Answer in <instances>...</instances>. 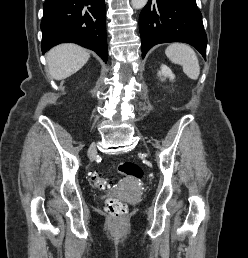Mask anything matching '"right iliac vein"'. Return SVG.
<instances>
[{
	"label": "right iliac vein",
	"instance_id": "obj_1",
	"mask_svg": "<svg viewBox=\"0 0 248 258\" xmlns=\"http://www.w3.org/2000/svg\"><path fill=\"white\" fill-rule=\"evenodd\" d=\"M96 154V145L95 143H92L88 149V157L89 159H93V157Z\"/></svg>",
	"mask_w": 248,
	"mask_h": 258
}]
</instances>
